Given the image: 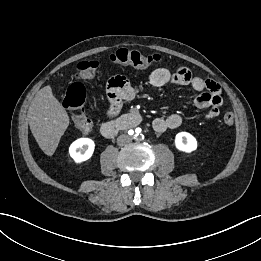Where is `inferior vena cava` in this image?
I'll return each instance as SVG.
<instances>
[{
    "mask_svg": "<svg viewBox=\"0 0 261 261\" xmlns=\"http://www.w3.org/2000/svg\"><path fill=\"white\" fill-rule=\"evenodd\" d=\"M132 141V138L127 134H122L118 136L117 143L118 145H124Z\"/></svg>",
    "mask_w": 261,
    "mask_h": 261,
    "instance_id": "obj_1",
    "label": "inferior vena cava"
}]
</instances>
